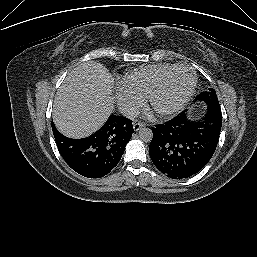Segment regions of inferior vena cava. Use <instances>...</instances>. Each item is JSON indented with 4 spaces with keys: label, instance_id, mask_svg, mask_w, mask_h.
Here are the masks:
<instances>
[{
    "label": "inferior vena cava",
    "instance_id": "1",
    "mask_svg": "<svg viewBox=\"0 0 257 257\" xmlns=\"http://www.w3.org/2000/svg\"><path fill=\"white\" fill-rule=\"evenodd\" d=\"M121 114L131 120H135L140 112L136 107L124 106L121 108Z\"/></svg>",
    "mask_w": 257,
    "mask_h": 257
}]
</instances>
